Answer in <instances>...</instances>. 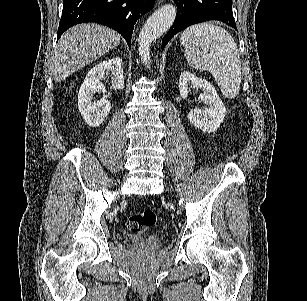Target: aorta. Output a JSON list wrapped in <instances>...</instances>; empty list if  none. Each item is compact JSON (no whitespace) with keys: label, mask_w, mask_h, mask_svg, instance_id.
Here are the masks:
<instances>
[{"label":"aorta","mask_w":307,"mask_h":301,"mask_svg":"<svg viewBox=\"0 0 307 301\" xmlns=\"http://www.w3.org/2000/svg\"><path fill=\"white\" fill-rule=\"evenodd\" d=\"M176 12L177 10L174 4H163V6L157 8V10L147 18L145 24H143L138 36V50L142 62H144L148 68L151 60L150 44L153 40L162 36L166 30H169L175 20Z\"/></svg>","instance_id":"762f6f07"}]
</instances>
